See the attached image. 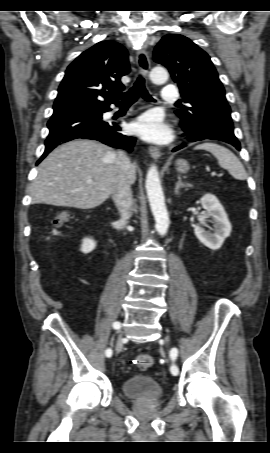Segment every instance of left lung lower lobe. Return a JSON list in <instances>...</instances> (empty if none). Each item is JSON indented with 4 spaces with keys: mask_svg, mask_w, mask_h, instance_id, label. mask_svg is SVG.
Wrapping results in <instances>:
<instances>
[{
    "mask_svg": "<svg viewBox=\"0 0 270 453\" xmlns=\"http://www.w3.org/2000/svg\"><path fill=\"white\" fill-rule=\"evenodd\" d=\"M182 129L185 131V135L190 141H200L204 139L220 140L233 145L237 150L241 149L240 143L236 137H229L218 132L211 131L203 125L182 124ZM183 147L184 145H180L174 148L173 151H177Z\"/></svg>",
    "mask_w": 270,
    "mask_h": 453,
    "instance_id": "1",
    "label": "left lung lower lobe"
}]
</instances>
